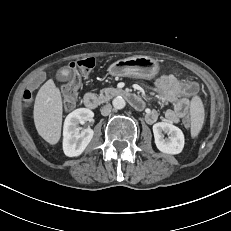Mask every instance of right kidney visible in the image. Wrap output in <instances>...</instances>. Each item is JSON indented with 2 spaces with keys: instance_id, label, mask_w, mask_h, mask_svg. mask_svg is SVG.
<instances>
[{
  "instance_id": "ca27d5eb",
  "label": "right kidney",
  "mask_w": 231,
  "mask_h": 231,
  "mask_svg": "<svg viewBox=\"0 0 231 231\" xmlns=\"http://www.w3.org/2000/svg\"><path fill=\"white\" fill-rule=\"evenodd\" d=\"M93 116L91 110L79 108L66 117L63 128V151L66 156L76 157L84 152L93 138L94 131L91 128L80 131L79 124H84Z\"/></svg>"
}]
</instances>
